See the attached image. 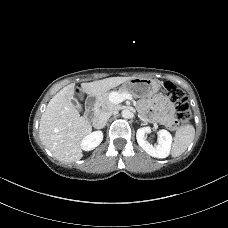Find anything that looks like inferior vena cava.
<instances>
[{
    "label": "inferior vena cava",
    "mask_w": 228,
    "mask_h": 228,
    "mask_svg": "<svg viewBox=\"0 0 228 228\" xmlns=\"http://www.w3.org/2000/svg\"><path fill=\"white\" fill-rule=\"evenodd\" d=\"M111 113H101L96 115L93 119H92V124L95 128L97 129H101L103 128L108 119L110 118Z\"/></svg>",
    "instance_id": "1"
}]
</instances>
